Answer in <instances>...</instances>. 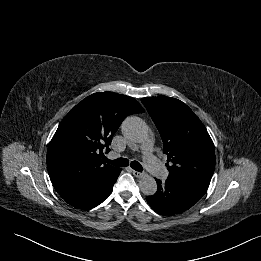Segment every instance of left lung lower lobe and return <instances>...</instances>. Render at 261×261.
<instances>
[{"label":"left lung lower lobe","instance_id":"0a47b994","mask_svg":"<svg viewBox=\"0 0 261 261\" xmlns=\"http://www.w3.org/2000/svg\"><path fill=\"white\" fill-rule=\"evenodd\" d=\"M158 189L146 200L160 214H177L186 211L197 203L207 189L197 185L167 179L161 182L156 179Z\"/></svg>","mask_w":261,"mask_h":261}]
</instances>
